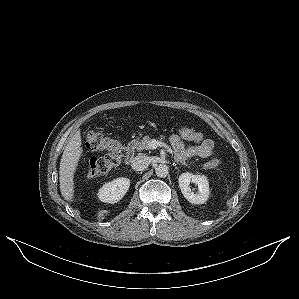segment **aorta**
Returning <instances> with one entry per match:
<instances>
[{"label": "aorta", "mask_w": 299, "mask_h": 299, "mask_svg": "<svg viewBox=\"0 0 299 299\" xmlns=\"http://www.w3.org/2000/svg\"><path fill=\"white\" fill-rule=\"evenodd\" d=\"M155 173L160 178H165L169 173V168L165 164H159L155 168Z\"/></svg>", "instance_id": "obj_1"}]
</instances>
